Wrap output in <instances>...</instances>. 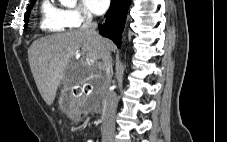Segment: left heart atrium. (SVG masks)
Masks as SVG:
<instances>
[{
	"instance_id": "1",
	"label": "left heart atrium",
	"mask_w": 227,
	"mask_h": 142,
	"mask_svg": "<svg viewBox=\"0 0 227 142\" xmlns=\"http://www.w3.org/2000/svg\"><path fill=\"white\" fill-rule=\"evenodd\" d=\"M85 6L94 14L101 15L108 9L110 0H83Z\"/></svg>"
}]
</instances>
